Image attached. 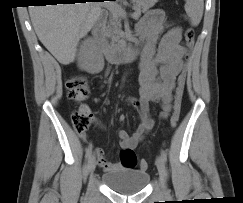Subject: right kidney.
<instances>
[{
    "label": "right kidney",
    "instance_id": "obj_1",
    "mask_svg": "<svg viewBox=\"0 0 243 203\" xmlns=\"http://www.w3.org/2000/svg\"><path fill=\"white\" fill-rule=\"evenodd\" d=\"M78 66L91 74L99 73L104 67L103 56L91 39L87 40L81 47Z\"/></svg>",
    "mask_w": 243,
    "mask_h": 203
}]
</instances>
